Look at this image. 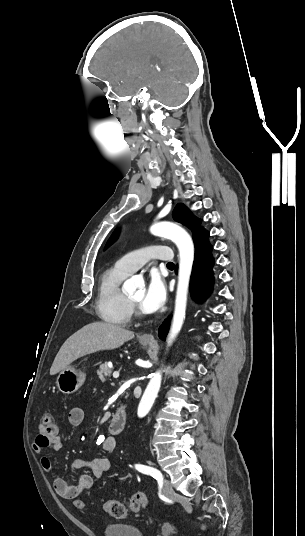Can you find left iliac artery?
I'll use <instances>...</instances> for the list:
<instances>
[{"label": "left iliac artery", "mask_w": 305, "mask_h": 536, "mask_svg": "<svg viewBox=\"0 0 305 536\" xmlns=\"http://www.w3.org/2000/svg\"><path fill=\"white\" fill-rule=\"evenodd\" d=\"M135 467L139 472L151 475L158 481V483L163 484V476L159 470L141 464H136Z\"/></svg>", "instance_id": "1"}]
</instances>
